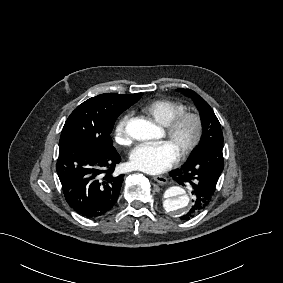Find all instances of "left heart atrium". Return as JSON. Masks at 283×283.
<instances>
[{
  "label": "left heart atrium",
  "mask_w": 283,
  "mask_h": 283,
  "mask_svg": "<svg viewBox=\"0 0 283 283\" xmlns=\"http://www.w3.org/2000/svg\"><path fill=\"white\" fill-rule=\"evenodd\" d=\"M179 158L178 151L167 141L142 143L129 153L128 161L134 170L156 175L170 169Z\"/></svg>",
  "instance_id": "obj_1"
}]
</instances>
